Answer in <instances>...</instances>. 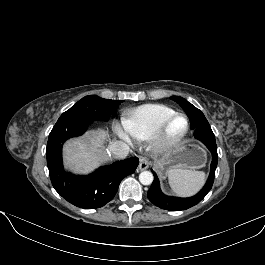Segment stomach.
Listing matches in <instances>:
<instances>
[{
    "label": "stomach",
    "instance_id": "1",
    "mask_svg": "<svg viewBox=\"0 0 265 265\" xmlns=\"http://www.w3.org/2000/svg\"><path fill=\"white\" fill-rule=\"evenodd\" d=\"M205 149L199 144H185L166 155L159 164V170L163 173L171 169H199L206 163Z\"/></svg>",
    "mask_w": 265,
    "mask_h": 265
}]
</instances>
